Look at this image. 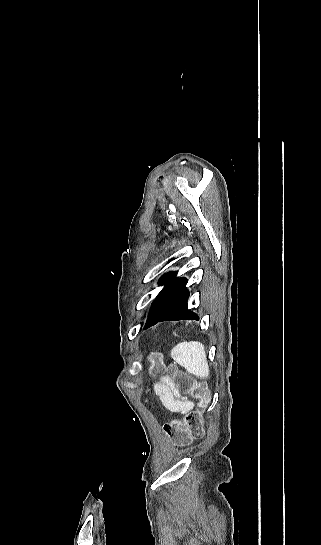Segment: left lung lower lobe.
Here are the masks:
<instances>
[{
  "label": "left lung lower lobe",
  "instance_id": "left-lung-lower-lobe-1",
  "mask_svg": "<svg viewBox=\"0 0 321 545\" xmlns=\"http://www.w3.org/2000/svg\"><path fill=\"white\" fill-rule=\"evenodd\" d=\"M186 283V278H176V272L160 278L158 284L166 286L152 303L145 329L166 320H199V316L187 308L189 291L185 288Z\"/></svg>",
  "mask_w": 321,
  "mask_h": 545
}]
</instances>
